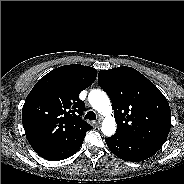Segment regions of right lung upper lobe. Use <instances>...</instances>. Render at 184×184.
<instances>
[{"mask_svg": "<svg viewBox=\"0 0 184 184\" xmlns=\"http://www.w3.org/2000/svg\"><path fill=\"white\" fill-rule=\"evenodd\" d=\"M96 77V69L72 64L53 69L35 84L22 108L25 134L35 152L84 139L92 127L81 119L85 105L79 93Z\"/></svg>", "mask_w": 184, "mask_h": 184, "instance_id": "obj_1", "label": "right lung upper lobe"}]
</instances>
